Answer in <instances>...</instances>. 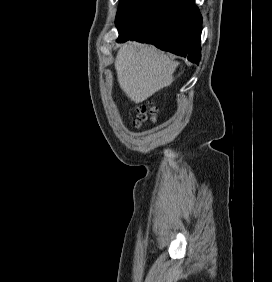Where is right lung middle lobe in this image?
Listing matches in <instances>:
<instances>
[{
    "mask_svg": "<svg viewBox=\"0 0 272 282\" xmlns=\"http://www.w3.org/2000/svg\"><path fill=\"white\" fill-rule=\"evenodd\" d=\"M140 0H120L116 22L121 20Z\"/></svg>",
    "mask_w": 272,
    "mask_h": 282,
    "instance_id": "dd1d6c3e",
    "label": "right lung middle lobe"
}]
</instances>
